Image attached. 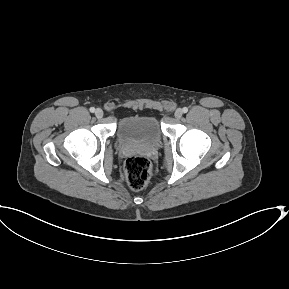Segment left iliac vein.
Instances as JSON below:
<instances>
[{
	"instance_id": "obj_1",
	"label": "left iliac vein",
	"mask_w": 289,
	"mask_h": 289,
	"mask_svg": "<svg viewBox=\"0 0 289 289\" xmlns=\"http://www.w3.org/2000/svg\"><path fill=\"white\" fill-rule=\"evenodd\" d=\"M182 115H183V111H182V109H177L176 111H175V113H174V116H175V118L176 119H180L181 117H182Z\"/></svg>"
}]
</instances>
